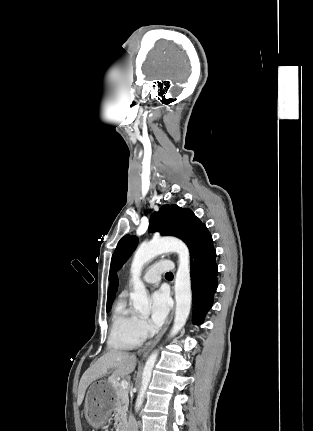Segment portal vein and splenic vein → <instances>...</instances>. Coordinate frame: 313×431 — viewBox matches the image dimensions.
Segmentation results:
<instances>
[{"label": "portal vein and splenic vein", "mask_w": 313, "mask_h": 431, "mask_svg": "<svg viewBox=\"0 0 313 431\" xmlns=\"http://www.w3.org/2000/svg\"><path fill=\"white\" fill-rule=\"evenodd\" d=\"M128 385H129V383H128V381H126V380H122V381H121V383H120V386H121L123 389H127V388H128Z\"/></svg>", "instance_id": "obj_1"}]
</instances>
